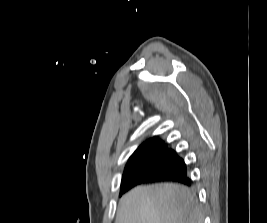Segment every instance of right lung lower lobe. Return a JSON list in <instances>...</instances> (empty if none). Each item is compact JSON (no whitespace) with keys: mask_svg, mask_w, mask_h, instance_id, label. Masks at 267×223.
I'll return each instance as SVG.
<instances>
[{"mask_svg":"<svg viewBox=\"0 0 267 223\" xmlns=\"http://www.w3.org/2000/svg\"><path fill=\"white\" fill-rule=\"evenodd\" d=\"M155 181H175L188 186L191 184V179L187 175L186 164L182 160V162L175 169L168 173L159 171H139L131 175L123 176L121 183V194L138 184Z\"/></svg>","mask_w":267,"mask_h":223,"instance_id":"obj_1","label":"right lung lower lobe"}]
</instances>
